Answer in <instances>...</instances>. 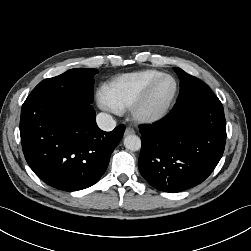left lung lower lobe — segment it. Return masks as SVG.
<instances>
[{
    "label": "left lung lower lobe",
    "mask_w": 251,
    "mask_h": 251,
    "mask_svg": "<svg viewBox=\"0 0 251 251\" xmlns=\"http://www.w3.org/2000/svg\"><path fill=\"white\" fill-rule=\"evenodd\" d=\"M139 170L153 187L180 192L203 182L222 157L226 142L224 109L206 84L179 93L169 114L141 125Z\"/></svg>",
    "instance_id": "obj_1"
}]
</instances>
